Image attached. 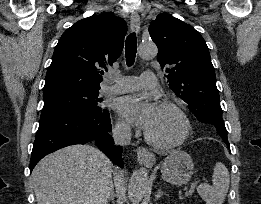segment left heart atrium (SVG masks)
I'll return each instance as SVG.
<instances>
[{
  "label": "left heart atrium",
  "instance_id": "left-heart-atrium-1",
  "mask_svg": "<svg viewBox=\"0 0 261 204\" xmlns=\"http://www.w3.org/2000/svg\"><path fill=\"white\" fill-rule=\"evenodd\" d=\"M154 109L146 97L137 95L123 97L117 103L118 113L144 130L150 124Z\"/></svg>",
  "mask_w": 261,
  "mask_h": 204
}]
</instances>
